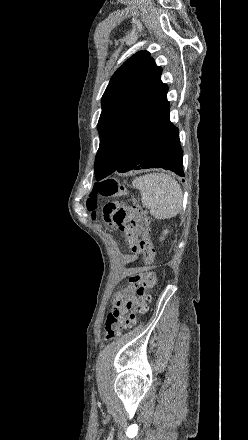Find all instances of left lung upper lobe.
<instances>
[{
	"mask_svg": "<svg viewBox=\"0 0 248 440\" xmlns=\"http://www.w3.org/2000/svg\"><path fill=\"white\" fill-rule=\"evenodd\" d=\"M147 51L131 56L112 76L102 97L98 122L97 181L113 173L126 153L168 118V86Z\"/></svg>",
	"mask_w": 248,
	"mask_h": 440,
	"instance_id": "obj_1",
	"label": "left lung upper lobe"
}]
</instances>
